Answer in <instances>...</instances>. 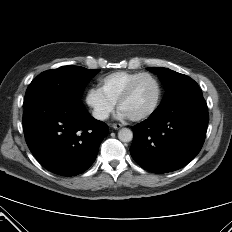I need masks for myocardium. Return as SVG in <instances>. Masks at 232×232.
I'll use <instances>...</instances> for the list:
<instances>
[{
    "mask_svg": "<svg viewBox=\"0 0 232 232\" xmlns=\"http://www.w3.org/2000/svg\"><path fill=\"white\" fill-rule=\"evenodd\" d=\"M144 77L151 78L155 82V84L157 86V96H156V100H155L154 104L152 105V107L148 111H146L145 113L138 115V116L129 117L133 121H141V120L147 119L150 116H152L157 111V109L161 103V100H162L163 90H162V85H161L159 79L151 73L143 72V73H140L138 76H136L129 83L128 87L126 88V90L123 92V94L121 95V97L117 101L118 109H121L122 104L124 102H126L132 96L133 91H134L135 86L137 85L138 81Z\"/></svg>",
    "mask_w": 232,
    "mask_h": 232,
    "instance_id": "myocardium-1",
    "label": "myocardium"
}]
</instances>
